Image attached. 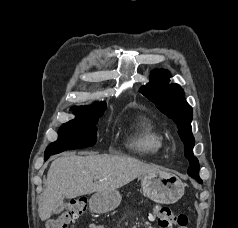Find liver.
I'll return each mask as SVG.
<instances>
[{
	"label": "liver",
	"mask_w": 238,
	"mask_h": 228,
	"mask_svg": "<svg viewBox=\"0 0 238 228\" xmlns=\"http://www.w3.org/2000/svg\"><path fill=\"white\" fill-rule=\"evenodd\" d=\"M159 171L158 167L120 155L68 154L59 157L48 170L46 189L39 201L40 219H49L63 204L64 198L114 191L137 177Z\"/></svg>",
	"instance_id": "obj_1"
}]
</instances>
